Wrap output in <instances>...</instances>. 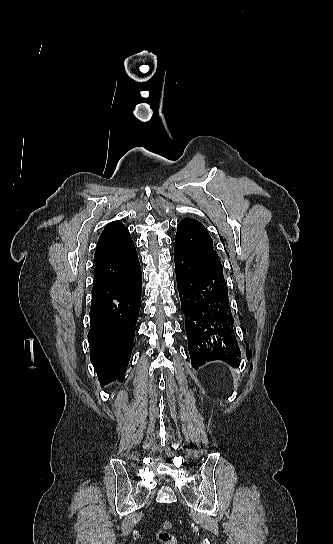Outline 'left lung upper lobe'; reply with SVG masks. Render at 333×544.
I'll list each match as a JSON object with an SVG mask.
<instances>
[{"mask_svg":"<svg viewBox=\"0 0 333 544\" xmlns=\"http://www.w3.org/2000/svg\"><path fill=\"white\" fill-rule=\"evenodd\" d=\"M174 250L186 253L194 260L216 269L223 274V267L213 241L202 223L195 219L184 218L177 226Z\"/></svg>","mask_w":333,"mask_h":544,"instance_id":"5c2ea615","label":"left lung upper lobe"}]
</instances>
